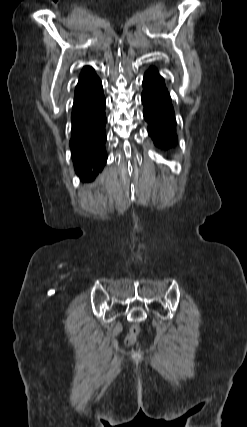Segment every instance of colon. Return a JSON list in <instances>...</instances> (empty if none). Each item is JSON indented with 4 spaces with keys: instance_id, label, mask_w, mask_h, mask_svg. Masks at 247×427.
<instances>
[{
    "instance_id": "1",
    "label": "colon",
    "mask_w": 247,
    "mask_h": 427,
    "mask_svg": "<svg viewBox=\"0 0 247 427\" xmlns=\"http://www.w3.org/2000/svg\"><path fill=\"white\" fill-rule=\"evenodd\" d=\"M138 332H139V327L138 326H133L131 328L130 333H129L127 339H126V344L127 345H130V344H132L135 341V338H136Z\"/></svg>"
}]
</instances>
